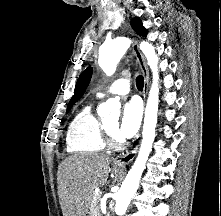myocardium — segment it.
Here are the masks:
<instances>
[{"label": "myocardium", "mask_w": 221, "mask_h": 216, "mask_svg": "<svg viewBox=\"0 0 221 216\" xmlns=\"http://www.w3.org/2000/svg\"><path fill=\"white\" fill-rule=\"evenodd\" d=\"M103 134L105 142L108 144L109 147L117 149L122 146V140L106 125V123H103Z\"/></svg>", "instance_id": "1"}]
</instances>
